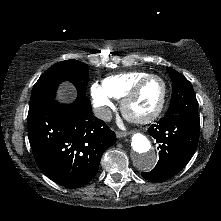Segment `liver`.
<instances>
[{"mask_svg":"<svg viewBox=\"0 0 221 221\" xmlns=\"http://www.w3.org/2000/svg\"><path fill=\"white\" fill-rule=\"evenodd\" d=\"M58 97L64 101H72L75 98V90L71 85L65 84L59 90Z\"/></svg>","mask_w":221,"mask_h":221,"instance_id":"6515ba94","label":"liver"}]
</instances>
